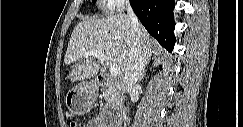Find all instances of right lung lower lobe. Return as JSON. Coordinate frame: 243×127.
<instances>
[{"mask_svg":"<svg viewBox=\"0 0 243 127\" xmlns=\"http://www.w3.org/2000/svg\"><path fill=\"white\" fill-rule=\"evenodd\" d=\"M131 5L149 34L171 51L175 45L174 0H131Z\"/></svg>","mask_w":243,"mask_h":127,"instance_id":"right-lung-lower-lobe-1","label":"right lung lower lobe"}]
</instances>
